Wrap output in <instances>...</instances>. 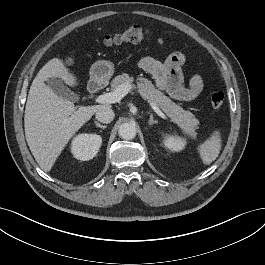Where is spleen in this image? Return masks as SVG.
<instances>
[{"label":"spleen","instance_id":"3e777b00","mask_svg":"<svg viewBox=\"0 0 265 265\" xmlns=\"http://www.w3.org/2000/svg\"><path fill=\"white\" fill-rule=\"evenodd\" d=\"M221 150V136L215 131L212 136L199 147L200 157L205 165L211 164L219 155Z\"/></svg>","mask_w":265,"mask_h":265}]
</instances>
